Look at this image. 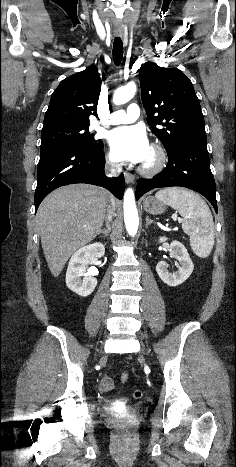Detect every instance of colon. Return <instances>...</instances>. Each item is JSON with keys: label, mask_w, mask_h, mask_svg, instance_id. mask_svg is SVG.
I'll use <instances>...</instances> for the list:
<instances>
[{"label": "colon", "mask_w": 236, "mask_h": 467, "mask_svg": "<svg viewBox=\"0 0 236 467\" xmlns=\"http://www.w3.org/2000/svg\"><path fill=\"white\" fill-rule=\"evenodd\" d=\"M133 396H134V398H136V399H140V398H142V396H143V392H142L141 390H139V389H136V390L133 392Z\"/></svg>", "instance_id": "5ec220e1"}]
</instances>
